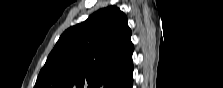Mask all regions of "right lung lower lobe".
Instances as JSON below:
<instances>
[{
    "label": "right lung lower lobe",
    "instance_id": "98d812e1",
    "mask_svg": "<svg viewBox=\"0 0 223 88\" xmlns=\"http://www.w3.org/2000/svg\"><path fill=\"white\" fill-rule=\"evenodd\" d=\"M132 85H133V80L130 83H128L125 88H132Z\"/></svg>",
    "mask_w": 223,
    "mask_h": 88
}]
</instances>
